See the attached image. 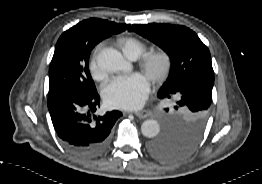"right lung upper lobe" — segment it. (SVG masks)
<instances>
[{
  "label": "right lung upper lobe",
  "instance_id": "cb5924a9",
  "mask_svg": "<svg viewBox=\"0 0 262 184\" xmlns=\"http://www.w3.org/2000/svg\"><path fill=\"white\" fill-rule=\"evenodd\" d=\"M81 25H86L91 28L98 29L100 31H107V32H110L111 34L124 31L130 26V25H125V24H117V23L110 22L107 20H102V19H88V20H84L78 23L74 27L81 26Z\"/></svg>",
  "mask_w": 262,
  "mask_h": 184
}]
</instances>
